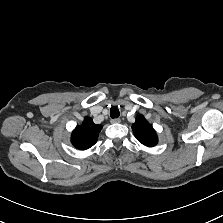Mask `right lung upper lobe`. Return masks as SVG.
<instances>
[{
  "mask_svg": "<svg viewBox=\"0 0 223 223\" xmlns=\"http://www.w3.org/2000/svg\"><path fill=\"white\" fill-rule=\"evenodd\" d=\"M101 129V125H96L91 118L86 117L82 125L73 131L71 142L80 150L88 149L96 143Z\"/></svg>",
  "mask_w": 223,
  "mask_h": 223,
  "instance_id": "1",
  "label": "right lung upper lobe"
}]
</instances>
